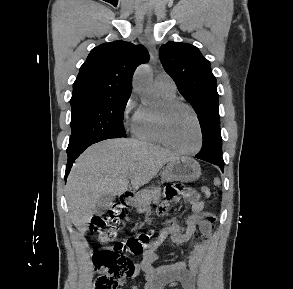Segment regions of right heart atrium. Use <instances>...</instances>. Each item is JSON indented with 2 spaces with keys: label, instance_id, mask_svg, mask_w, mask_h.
Here are the masks:
<instances>
[{
  "label": "right heart atrium",
  "instance_id": "obj_1",
  "mask_svg": "<svg viewBox=\"0 0 293 289\" xmlns=\"http://www.w3.org/2000/svg\"><path fill=\"white\" fill-rule=\"evenodd\" d=\"M141 109L142 107L138 103L137 96L135 95V93H131L127 98L123 108L124 117L130 120L128 125L130 128L133 129V126Z\"/></svg>",
  "mask_w": 293,
  "mask_h": 289
}]
</instances>
